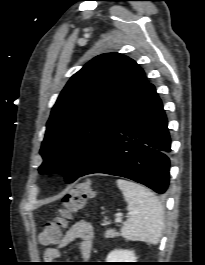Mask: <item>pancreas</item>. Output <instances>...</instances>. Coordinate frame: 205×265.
<instances>
[{
    "instance_id": "cf45deb5",
    "label": "pancreas",
    "mask_w": 205,
    "mask_h": 265,
    "mask_svg": "<svg viewBox=\"0 0 205 265\" xmlns=\"http://www.w3.org/2000/svg\"><path fill=\"white\" fill-rule=\"evenodd\" d=\"M118 235H119L118 232H116L114 229H108L105 232L106 238H114V237H117Z\"/></svg>"
}]
</instances>
